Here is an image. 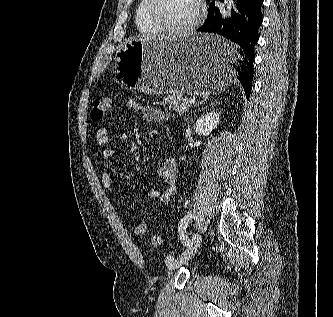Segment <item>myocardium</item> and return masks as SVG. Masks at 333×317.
Here are the masks:
<instances>
[{
  "label": "myocardium",
  "instance_id": "obj_1",
  "mask_svg": "<svg viewBox=\"0 0 333 317\" xmlns=\"http://www.w3.org/2000/svg\"><path fill=\"white\" fill-rule=\"evenodd\" d=\"M157 0H148L147 3V14L153 24L159 28L162 32L175 34V35H186L193 32L199 25L201 18L204 13L203 0H195L196 12L192 21L182 27H175L165 23L156 13Z\"/></svg>",
  "mask_w": 333,
  "mask_h": 317
}]
</instances>
